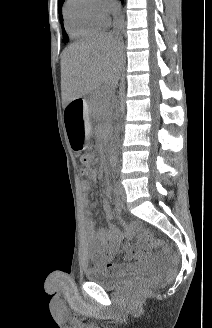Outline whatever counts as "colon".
Listing matches in <instances>:
<instances>
[{"instance_id":"5ec220e1","label":"colon","mask_w":212,"mask_h":328,"mask_svg":"<svg viewBox=\"0 0 212 328\" xmlns=\"http://www.w3.org/2000/svg\"><path fill=\"white\" fill-rule=\"evenodd\" d=\"M91 156L89 154H84L81 157L80 171L81 173H93L94 167L90 165ZM139 237L145 240L148 245L162 248L168 258L171 265H176L178 263V256L173 253L168 247H166L160 238L155 237L152 232L148 229H141L139 231Z\"/></svg>"}]
</instances>
